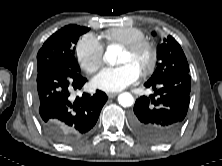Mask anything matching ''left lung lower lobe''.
I'll return each instance as SVG.
<instances>
[{"label": "left lung lower lobe", "mask_w": 222, "mask_h": 166, "mask_svg": "<svg viewBox=\"0 0 222 166\" xmlns=\"http://www.w3.org/2000/svg\"><path fill=\"white\" fill-rule=\"evenodd\" d=\"M154 94L136 100L131 126L144 140L162 144L170 142L181 130L186 117L191 90L189 74L163 77L147 81Z\"/></svg>", "instance_id": "0a47b994"}]
</instances>
